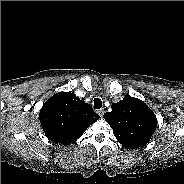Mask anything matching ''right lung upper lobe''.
Here are the masks:
<instances>
[{"label": "right lung upper lobe", "mask_w": 184, "mask_h": 184, "mask_svg": "<svg viewBox=\"0 0 184 184\" xmlns=\"http://www.w3.org/2000/svg\"><path fill=\"white\" fill-rule=\"evenodd\" d=\"M39 119L51 141L66 145L82 136L99 115L74 93L59 92L43 104Z\"/></svg>", "instance_id": "1"}]
</instances>
